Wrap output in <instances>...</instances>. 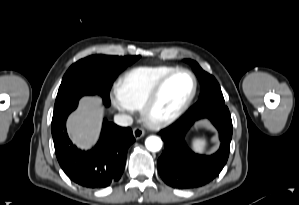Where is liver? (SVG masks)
<instances>
[{
    "label": "liver",
    "instance_id": "1",
    "mask_svg": "<svg viewBox=\"0 0 299 205\" xmlns=\"http://www.w3.org/2000/svg\"><path fill=\"white\" fill-rule=\"evenodd\" d=\"M103 111L97 96H85L80 100L79 109L67 121L68 133L74 144L82 149L95 144L101 129Z\"/></svg>",
    "mask_w": 299,
    "mask_h": 205
}]
</instances>
